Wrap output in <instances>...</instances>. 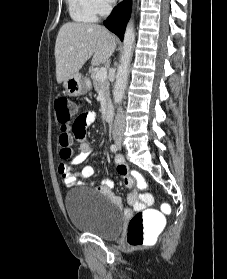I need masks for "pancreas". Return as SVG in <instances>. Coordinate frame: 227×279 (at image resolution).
<instances>
[{
    "instance_id": "pancreas-1",
    "label": "pancreas",
    "mask_w": 227,
    "mask_h": 279,
    "mask_svg": "<svg viewBox=\"0 0 227 279\" xmlns=\"http://www.w3.org/2000/svg\"><path fill=\"white\" fill-rule=\"evenodd\" d=\"M91 79L93 80V85L96 89V91H101L103 93L104 96V100L105 103L108 105L111 103V99H110V83L108 81V79L106 78L105 80L99 81L96 78V70L92 69L91 71Z\"/></svg>"
}]
</instances>
